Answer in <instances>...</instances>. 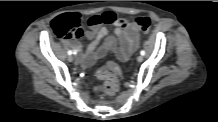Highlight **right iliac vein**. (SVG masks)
<instances>
[{
  "label": "right iliac vein",
  "instance_id": "obj_1",
  "mask_svg": "<svg viewBox=\"0 0 218 122\" xmlns=\"http://www.w3.org/2000/svg\"><path fill=\"white\" fill-rule=\"evenodd\" d=\"M74 60V57L72 56V55H70L69 57H68V61L69 62H72Z\"/></svg>",
  "mask_w": 218,
  "mask_h": 122
}]
</instances>
